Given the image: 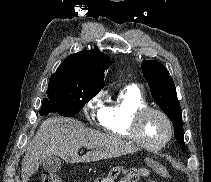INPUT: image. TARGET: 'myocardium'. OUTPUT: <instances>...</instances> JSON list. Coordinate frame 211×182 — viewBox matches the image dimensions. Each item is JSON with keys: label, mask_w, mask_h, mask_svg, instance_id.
Here are the masks:
<instances>
[{"label": "myocardium", "mask_w": 211, "mask_h": 182, "mask_svg": "<svg viewBox=\"0 0 211 182\" xmlns=\"http://www.w3.org/2000/svg\"><path fill=\"white\" fill-rule=\"evenodd\" d=\"M149 113H156L159 116L162 117L164 122L166 123L167 126V136L166 138L157 145H151L146 143L140 133V123L143 117ZM131 133L134 138V140L143 148L149 149V150H160L164 148L172 139L173 136V126L170 118L168 115L161 109L152 107V106H144L139 109H137L132 117V122H131Z\"/></svg>", "instance_id": "myocardium-1"}]
</instances>
